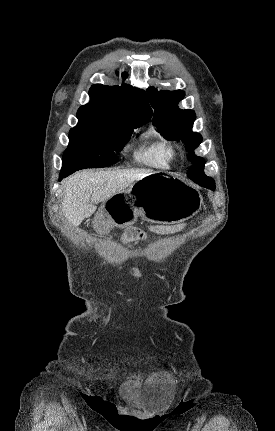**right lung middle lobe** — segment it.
<instances>
[{
    "label": "right lung middle lobe",
    "instance_id": "dd1d6c3e",
    "mask_svg": "<svg viewBox=\"0 0 275 431\" xmlns=\"http://www.w3.org/2000/svg\"><path fill=\"white\" fill-rule=\"evenodd\" d=\"M112 119L79 120L69 132V146L62 158V172L102 168L118 162L116 155L128 141L133 128Z\"/></svg>",
    "mask_w": 275,
    "mask_h": 431
}]
</instances>
